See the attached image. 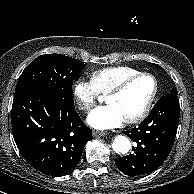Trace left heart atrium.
I'll use <instances>...</instances> for the list:
<instances>
[{"mask_svg":"<svg viewBox=\"0 0 194 194\" xmlns=\"http://www.w3.org/2000/svg\"><path fill=\"white\" fill-rule=\"evenodd\" d=\"M124 116L112 104L98 107L90 112L87 123L98 130L121 126L125 122Z\"/></svg>","mask_w":194,"mask_h":194,"instance_id":"1","label":"left heart atrium"}]
</instances>
